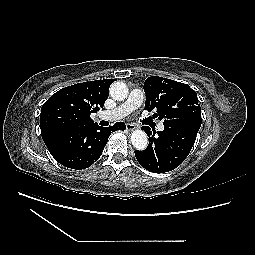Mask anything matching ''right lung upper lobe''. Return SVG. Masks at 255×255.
Wrapping results in <instances>:
<instances>
[{
  "label": "right lung upper lobe",
  "mask_w": 255,
  "mask_h": 255,
  "mask_svg": "<svg viewBox=\"0 0 255 255\" xmlns=\"http://www.w3.org/2000/svg\"><path fill=\"white\" fill-rule=\"evenodd\" d=\"M113 81L115 79L78 83L53 94L42 106L40 114L41 134L46 146H52L76 130L97 124L90 114L104 106Z\"/></svg>",
  "instance_id": "obj_1"
}]
</instances>
